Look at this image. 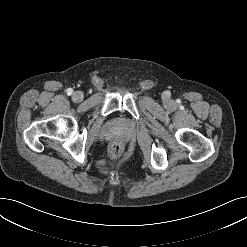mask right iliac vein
Returning <instances> with one entry per match:
<instances>
[{
    "label": "right iliac vein",
    "mask_w": 247,
    "mask_h": 247,
    "mask_svg": "<svg viewBox=\"0 0 247 247\" xmlns=\"http://www.w3.org/2000/svg\"><path fill=\"white\" fill-rule=\"evenodd\" d=\"M72 99L75 101V102H81L82 99H83V93L80 92V91H76L73 93V96H72Z\"/></svg>",
    "instance_id": "63e3f726"
}]
</instances>
